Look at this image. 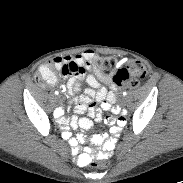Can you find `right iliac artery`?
I'll return each mask as SVG.
<instances>
[{"mask_svg": "<svg viewBox=\"0 0 183 183\" xmlns=\"http://www.w3.org/2000/svg\"><path fill=\"white\" fill-rule=\"evenodd\" d=\"M55 94L58 95L59 92L58 91H55ZM59 112H60V109H56L55 112H54V116L57 118V116L59 115Z\"/></svg>", "mask_w": 183, "mask_h": 183, "instance_id": "82829eb1", "label": "right iliac artery"}]
</instances>
